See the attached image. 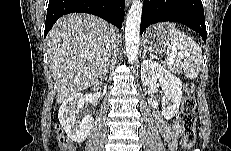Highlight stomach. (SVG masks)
Masks as SVG:
<instances>
[{"instance_id": "stomach-1", "label": "stomach", "mask_w": 231, "mask_h": 151, "mask_svg": "<svg viewBox=\"0 0 231 151\" xmlns=\"http://www.w3.org/2000/svg\"><path fill=\"white\" fill-rule=\"evenodd\" d=\"M173 24H156L146 30L143 37V47L148 52L162 53L170 49Z\"/></svg>"}]
</instances>
